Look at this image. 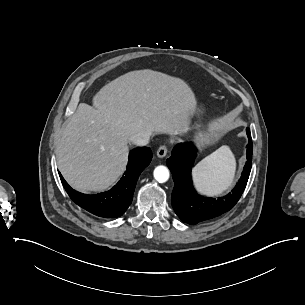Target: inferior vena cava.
<instances>
[{
	"mask_svg": "<svg viewBox=\"0 0 305 305\" xmlns=\"http://www.w3.org/2000/svg\"><path fill=\"white\" fill-rule=\"evenodd\" d=\"M150 135L149 132H142L130 137V141L137 146H145L149 142Z\"/></svg>",
	"mask_w": 305,
	"mask_h": 305,
	"instance_id": "1",
	"label": "inferior vena cava"
}]
</instances>
